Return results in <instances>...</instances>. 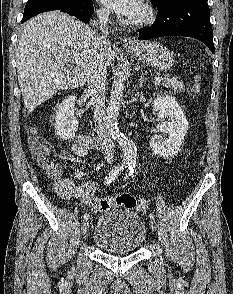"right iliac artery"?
Wrapping results in <instances>:
<instances>
[{"instance_id": "right-iliac-artery-1", "label": "right iliac artery", "mask_w": 233, "mask_h": 294, "mask_svg": "<svg viewBox=\"0 0 233 294\" xmlns=\"http://www.w3.org/2000/svg\"><path fill=\"white\" fill-rule=\"evenodd\" d=\"M127 163L122 162L118 164L116 167H114L110 173L105 177L104 183L105 184H110L118 175L121 171H123L125 168H127ZM89 218L88 214H84L83 219L87 220Z\"/></svg>"}]
</instances>
